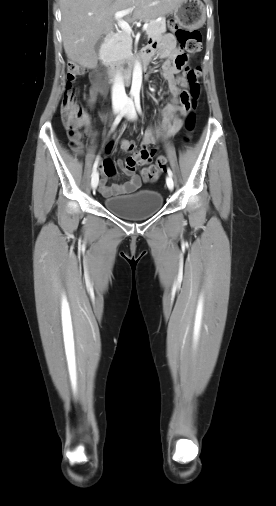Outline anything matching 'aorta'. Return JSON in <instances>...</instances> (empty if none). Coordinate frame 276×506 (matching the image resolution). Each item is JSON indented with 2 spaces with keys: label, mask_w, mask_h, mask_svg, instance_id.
<instances>
[{
  "label": "aorta",
  "mask_w": 276,
  "mask_h": 506,
  "mask_svg": "<svg viewBox=\"0 0 276 506\" xmlns=\"http://www.w3.org/2000/svg\"><path fill=\"white\" fill-rule=\"evenodd\" d=\"M142 84V66L140 62L136 61L133 69L131 95H138L140 93Z\"/></svg>",
  "instance_id": "762f6f07"
}]
</instances>
